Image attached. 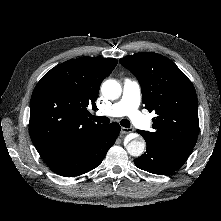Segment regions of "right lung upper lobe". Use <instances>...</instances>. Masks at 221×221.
I'll return each instance as SVG.
<instances>
[{"label":"right lung upper lobe","instance_id":"obj_1","mask_svg":"<svg viewBox=\"0 0 221 221\" xmlns=\"http://www.w3.org/2000/svg\"><path fill=\"white\" fill-rule=\"evenodd\" d=\"M117 65L114 58L82 57L51 69L36 85L29 132L43 159L89 140L102 126L87 118L96 108L101 82Z\"/></svg>","mask_w":221,"mask_h":221}]
</instances>
